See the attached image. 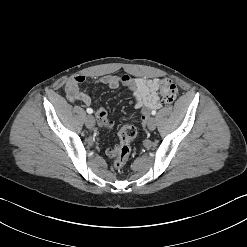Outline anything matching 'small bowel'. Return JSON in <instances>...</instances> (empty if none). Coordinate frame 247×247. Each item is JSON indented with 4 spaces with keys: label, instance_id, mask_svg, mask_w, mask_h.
<instances>
[{
    "label": "small bowel",
    "instance_id": "1",
    "mask_svg": "<svg viewBox=\"0 0 247 247\" xmlns=\"http://www.w3.org/2000/svg\"><path fill=\"white\" fill-rule=\"evenodd\" d=\"M85 81L86 78L82 75H76L69 79L65 86V92L71 102L80 101L86 105L91 103V97L81 88ZM160 81L159 79L136 78L129 75H104L94 79L92 82L106 85L113 89L121 85L128 88L133 95L135 107L141 110V120L145 124L149 111L161 106L158 94ZM96 118L100 126L105 128L113 127V122L108 119L107 111L103 107H99L96 110ZM107 155L114 157V147L107 149Z\"/></svg>",
    "mask_w": 247,
    "mask_h": 247
}]
</instances>
